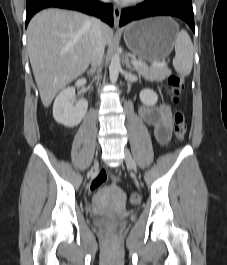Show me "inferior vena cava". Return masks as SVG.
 Here are the masks:
<instances>
[{"mask_svg": "<svg viewBox=\"0 0 227 265\" xmlns=\"http://www.w3.org/2000/svg\"><path fill=\"white\" fill-rule=\"evenodd\" d=\"M102 2H108L109 0H101ZM102 22L95 17L91 18V31H90V43H91V64L92 68L96 69L101 63L104 55L105 42L101 30Z\"/></svg>", "mask_w": 227, "mask_h": 265, "instance_id": "obj_1", "label": "inferior vena cava"}]
</instances>
